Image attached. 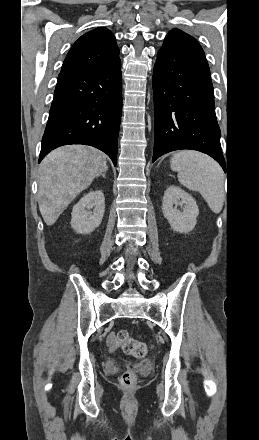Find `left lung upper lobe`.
I'll use <instances>...</instances> for the list:
<instances>
[{
    "mask_svg": "<svg viewBox=\"0 0 259 440\" xmlns=\"http://www.w3.org/2000/svg\"><path fill=\"white\" fill-rule=\"evenodd\" d=\"M168 35H182V36H186V37L193 38V37H191L190 35L184 33L183 31H181V30H179V29H176V28H175V29H172V30L168 33Z\"/></svg>",
    "mask_w": 259,
    "mask_h": 440,
    "instance_id": "1",
    "label": "left lung upper lobe"
}]
</instances>
